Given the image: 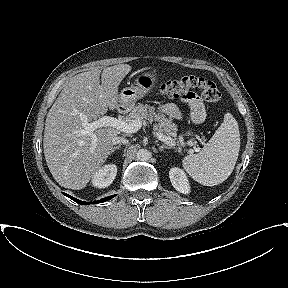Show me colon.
Instances as JSON below:
<instances>
[{
	"label": "colon",
	"mask_w": 288,
	"mask_h": 288,
	"mask_svg": "<svg viewBox=\"0 0 288 288\" xmlns=\"http://www.w3.org/2000/svg\"><path fill=\"white\" fill-rule=\"evenodd\" d=\"M192 90H199L202 97L211 103H216L221 99V93L216 84L203 77L184 76L164 82L159 86L160 94L170 98L184 97L192 93Z\"/></svg>",
	"instance_id": "1"
}]
</instances>
